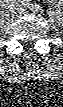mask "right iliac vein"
<instances>
[{"mask_svg": "<svg viewBox=\"0 0 63 107\" xmlns=\"http://www.w3.org/2000/svg\"><path fill=\"white\" fill-rule=\"evenodd\" d=\"M17 10H18V8H16L15 6H12V7L10 8V12H11L12 14H14Z\"/></svg>", "mask_w": 63, "mask_h": 107, "instance_id": "1", "label": "right iliac vein"}]
</instances>
